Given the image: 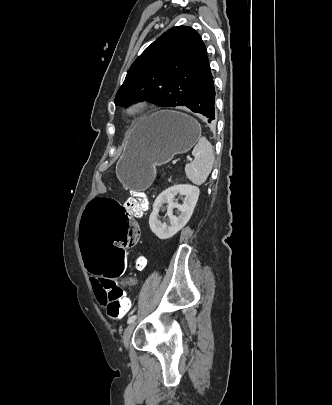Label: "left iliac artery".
Returning a JSON list of instances; mask_svg holds the SVG:
<instances>
[{"instance_id": "44dca946", "label": "left iliac artery", "mask_w": 332, "mask_h": 405, "mask_svg": "<svg viewBox=\"0 0 332 405\" xmlns=\"http://www.w3.org/2000/svg\"><path fill=\"white\" fill-rule=\"evenodd\" d=\"M136 318H137L136 315H133V316L129 317L128 320H127V323L130 324V323L134 322L136 320Z\"/></svg>"}]
</instances>
